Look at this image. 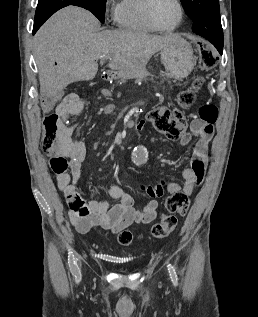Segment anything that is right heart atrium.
I'll return each mask as SVG.
<instances>
[{
	"label": "right heart atrium",
	"instance_id": "d8ad5b80",
	"mask_svg": "<svg viewBox=\"0 0 258 317\" xmlns=\"http://www.w3.org/2000/svg\"><path fill=\"white\" fill-rule=\"evenodd\" d=\"M109 16L112 20H115V6H112L110 9H109Z\"/></svg>",
	"mask_w": 258,
	"mask_h": 317
}]
</instances>
